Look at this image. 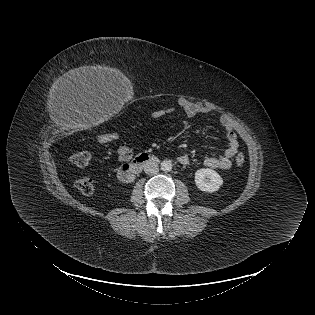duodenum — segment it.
I'll use <instances>...</instances> for the list:
<instances>
[{"label": "duodenum", "mask_w": 315, "mask_h": 315, "mask_svg": "<svg viewBox=\"0 0 315 315\" xmlns=\"http://www.w3.org/2000/svg\"><path fill=\"white\" fill-rule=\"evenodd\" d=\"M156 161V157L152 154L142 153L132 161L123 164L118 171V178L123 183H130L135 176L148 164Z\"/></svg>", "instance_id": "410a0bca"}]
</instances>
